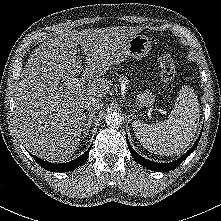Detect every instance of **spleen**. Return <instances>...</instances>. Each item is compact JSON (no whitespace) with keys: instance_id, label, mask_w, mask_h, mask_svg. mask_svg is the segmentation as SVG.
I'll return each instance as SVG.
<instances>
[{"instance_id":"spleen-1","label":"spleen","mask_w":221,"mask_h":221,"mask_svg":"<svg viewBox=\"0 0 221 221\" xmlns=\"http://www.w3.org/2000/svg\"><path fill=\"white\" fill-rule=\"evenodd\" d=\"M198 97L192 87L182 86L167 120L157 124L134 121V132L144 148L152 153L181 154L192 142L200 118Z\"/></svg>"}]
</instances>
